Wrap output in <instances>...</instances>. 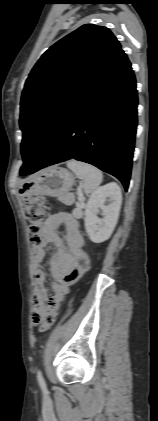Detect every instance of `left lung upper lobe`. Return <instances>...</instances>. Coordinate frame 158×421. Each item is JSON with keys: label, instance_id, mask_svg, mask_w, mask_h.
I'll return each mask as SVG.
<instances>
[{"label": "left lung upper lobe", "instance_id": "5c2ea615", "mask_svg": "<svg viewBox=\"0 0 158 421\" xmlns=\"http://www.w3.org/2000/svg\"><path fill=\"white\" fill-rule=\"evenodd\" d=\"M120 49L108 28L85 24L41 56L21 97L20 173L36 165L66 111Z\"/></svg>", "mask_w": 158, "mask_h": 421}]
</instances>
